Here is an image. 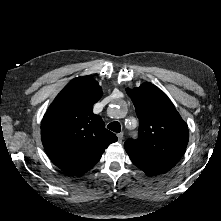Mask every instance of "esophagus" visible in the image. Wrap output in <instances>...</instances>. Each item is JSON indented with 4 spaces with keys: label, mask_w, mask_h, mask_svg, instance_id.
I'll list each match as a JSON object with an SVG mask.
<instances>
[{
    "label": "esophagus",
    "mask_w": 221,
    "mask_h": 221,
    "mask_svg": "<svg viewBox=\"0 0 221 221\" xmlns=\"http://www.w3.org/2000/svg\"><path fill=\"white\" fill-rule=\"evenodd\" d=\"M117 137H118V142L121 143L122 140H123V133H122V132H121V133H118V134H117Z\"/></svg>",
    "instance_id": "obj_1"
}]
</instances>
